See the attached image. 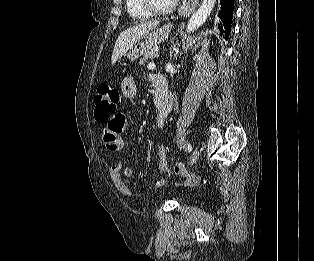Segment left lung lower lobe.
Listing matches in <instances>:
<instances>
[{
	"mask_svg": "<svg viewBox=\"0 0 314 261\" xmlns=\"http://www.w3.org/2000/svg\"><path fill=\"white\" fill-rule=\"evenodd\" d=\"M220 3L221 8L219 11V29L221 34H223L227 39L231 30V22L234 12V0H221Z\"/></svg>",
	"mask_w": 314,
	"mask_h": 261,
	"instance_id": "obj_1",
	"label": "left lung lower lobe"
}]
</instances>
